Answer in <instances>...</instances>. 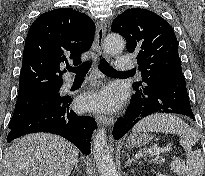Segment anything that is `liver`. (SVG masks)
Here are the masks:
<instances>
[{"label": "liver", "instance_id": "obj_1", "mask_svg": "<svg viewBox=\"0 0 205 176\" xmlns=\"http://www.w3.org/2000/svg\"><path fill=\"white\" fill-rule=\"evenodd\" d=\"M78 155V149L62 137L28 134L6 150L3 176H69Z\"/></svg>", "mask_w": 205, "mask_h": 176}]
</instances>
